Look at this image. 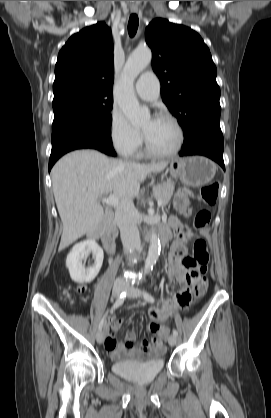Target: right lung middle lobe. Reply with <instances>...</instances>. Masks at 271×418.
<instances>
[{"label":"right lung middle lobe","instance_id":"right-lung-middle-lobe-1","mask_svg":"<svg viewBox=\"0 0 271 418\" xmlns=\"http://www.w3.org/2000/svg\"><path fill=\"white\" fill-rule=\"evenodd\" d=\"M113 96L77 95L53 101L52 137L90 126L111 130Z\"/></svg>","mask_w":271,"mask_h":418}]
</instances>
